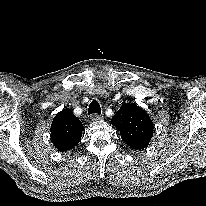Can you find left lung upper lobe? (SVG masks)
I'll use <instances>...</instances> for the list:
<instances>
[{
	"instance_id": "1",
	"label": "left lung upper lobe",
	"mask_w": 206,
	"mask_h": 206,
	"mask_svg": "<svg viewBox=\"0 0 206 206\" xmlns=\"http://www.w3.org/2000/svg\"><path fill=\"white\" fill-rule=\"evenodd\" d=\"M121 138L133 149L145 148L153 135L154 125L149 115L136 104H123L111 120Z\"/></svg>"
}]
</instances>
